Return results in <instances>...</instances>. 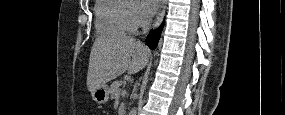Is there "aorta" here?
<instances>
[{
    "label": "aorta",
    "instance_id": "762f6f07",
    "mask_svg": "<svg viewBox=\"0 0 285 115\" xmlns=\"http://www.w3.org/2000/svg\"><path fill=\"white\" fill-rule=\"evenodd\" d=\"M130 115H136V108H133V109L130 111Z\"/></svg>",
    "mask_w": 285,
    "mask_h": 115
}]
</instances>
